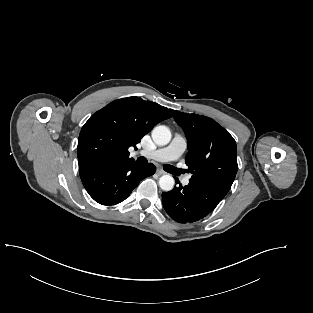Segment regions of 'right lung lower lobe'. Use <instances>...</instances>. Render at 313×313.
<instances>
[{"label":"right lung lower lobe","mask_w":313,"mask_h":313,"mask_svg":"<svg viewBox=\"0 0 313 313\" xmlns=\"http://www.w3.org/2000/svg\"><path fill=\"white\" fill-rule=\"evenodd\" d=\"M155 171L152 163L140 165L132 162L89 168L80 171V177L96 202L110 206L125 200L142 179Z\"/></svg>","instance_id":"obj_1"}]
</instances>
